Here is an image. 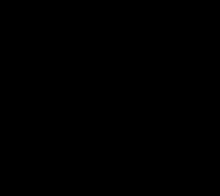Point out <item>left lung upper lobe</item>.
<instances>
[{
    "instance_id": "obj_1",
    "label": "left lung upper lobe",
    "mask_w": 220,
    "mask_h": 196,
    "mask_svg": "<svg viewBox=\"0 0 220 196\" xmlns=\"http://www.w3.org/2000/svg\"><path fill=\"white\" fill-rule=\"evenodd\" d=\"M155 116L152 134L166 140L188 117L191 90L184 69L169 57L156 62V85L153 94Z\"/></svg>"
}]
</instances>
